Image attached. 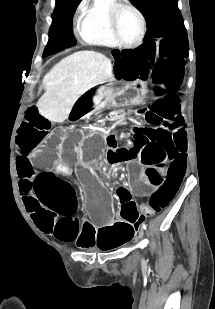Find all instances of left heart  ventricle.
Listing matches in <instances>:
<instances>
[{"mask_svg": "<svg viewBox=\"0 0 215 309\" xmlns=\"http://www.w3.org/2000/svg\"><path fill=\"white\" fill-rule=\"evenodd\" d=\"M116 13H120L121 18L117 20L120 22V29H117L120 33V40L118 41H128L131 42L137 33V22L134 15L126 10H121Z\"/></svg>", "mask_w": 215, "mask_h": 309, "instance_id": "obj_1", "label": "left heart ventricle"}]
</instances>
